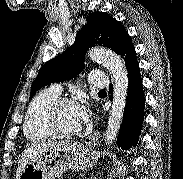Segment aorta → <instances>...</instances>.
I'll list each match as a JSON object with an SVG mask.
<instances>
[{
	"instance_id": "1",
	"label": "aorta",
	"mask_w": 183,
	"mask_h": 179,
	"mask_svg": "<svg viewBox=\"0 0 183 179\" xmlns=\"http://www.w3.org/2000/svg\"><path fill=\"white\" fill-rule=\"evenodd\" d=\"M88 57L101 63L113 76V100L105 133L106 145L110 146L119 132L128 95V72L119 55L105 48H92Z\"/></svg>"
}]
</instances>
